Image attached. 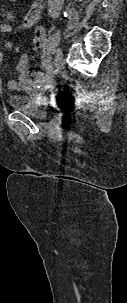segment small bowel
I'll return each instance as SVG.
<instances>
[{"label":"small bowel","instance_id":"c3829d8e","mask_svg":"<svg viewBox=\"0 0 127 303\" xmlns=\"http://www.w3.org/2000/svg\"><path fill=\"white\" fill-rule=\"evenodd\" d=\"M15 2L16 0H9ZM42 12V6L38 1H34L21 25L22 29L31 28L34 26ZM13 31V27L8 23L0 24V39L3 35L10 34ZM33 44L35 48L42 49L41 55V70L32 72L30 57L27 53L21 55L17 64L18 79L9 80L7 87L11 91H26L30 92L34 85L43 84L47 85L50 82V74L53 70L52 66V53L47 47L46 32L42 27H36L34 31ZM5 47H10L9 43L5 44ZM3 61V54L0 51V63Z\"/></svg>","mask_w":127,"mask_h":303}]
</instances>
